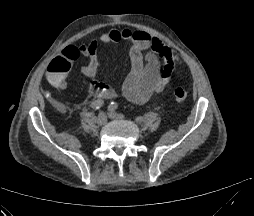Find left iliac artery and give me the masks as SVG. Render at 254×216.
<instances>
[{"label":"left iliac artery","instance_id":"left-iliac-artery-1","mask_svg":"<svg viewBox=\"0 0 254 216\" xmlns=\"http://www.w3.org/2000/svg\"><path fill=\"white\" fill-rule=\"evenodd\" d=\"M118 108V104L116 102H111L108 106L109 111H115Z\"/></svg>","mask_w":254,"mask_h":216}]
</instances>
